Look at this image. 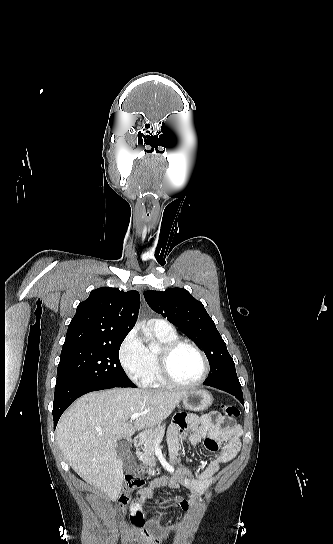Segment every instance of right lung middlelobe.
I'll use <instances>...</instances> for the list:
<instances>
[{
    "label": "right lung middle lobe",
    "mask_w": 333,
    "mask_h": 544,
    "mask_svg": "<svg viewBox=\"0 0 333 544\" xmlns=\"http://www.w3.org/2000/svg\"><path fill=\"white\" fill-rule=\"evenodd\" d=\"M124 338L62 349L57 381L135 387L119 360V349Z\"/></svg>",
    "instance_id": "1"
}]
</instances>
